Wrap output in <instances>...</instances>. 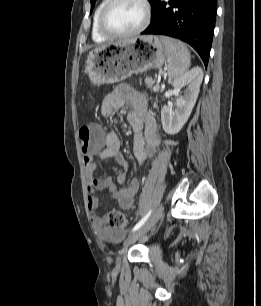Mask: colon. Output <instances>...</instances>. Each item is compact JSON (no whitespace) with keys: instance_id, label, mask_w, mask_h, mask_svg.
<instances>
[{"instance_id":"obj_1","label":"colon","mask_w":261,"mask_h":306,"mask_svg":"<svg viewBox=\"0 0 261 306\" xmlns=\"http://www.w3.org/2000/svg\"><path fill=\"white\" fill-rule=\"evenodd\" d=\"M81 150L85 156L98 152L103 142V132L100 127L93 124L83 125L79 129ZM109 225L122 229L127 225V216L119 210H113L108 216Z\"/></svg>"}]
</instances>
